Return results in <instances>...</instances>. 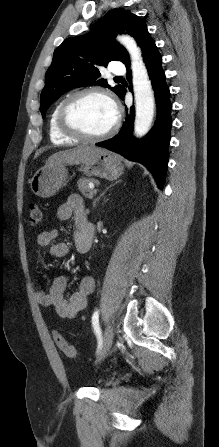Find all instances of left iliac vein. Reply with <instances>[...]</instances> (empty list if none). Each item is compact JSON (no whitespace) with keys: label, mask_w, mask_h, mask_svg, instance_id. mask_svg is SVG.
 <instances>
[{"label":"left iliac vein","mask_w":219,"mask_h":447,"mask_svg":"<svg viewBox=\"0 0 219 447\" xmlns=\"http://www.w3.org/2000/svg\"><path fill=\"white\" fill-rule=\"evenodd\" d=\"M113 336H114V329L112 324L109 322L103 335L102 351L97 362L103 360L105 356L108 354L113 343Z\"/></svg>","instance_id":"1"}]
</instances>
